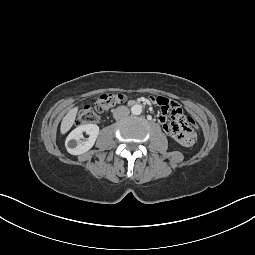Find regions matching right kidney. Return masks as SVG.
I'll return each mask as SVG.
<instances>
[{"label":"right kidney","mask_w":255,"mask_h":255,"mask_svg":"<svg viewBox=\"0 0 255 255\" xmlns=\"http://www.w3.org/2000/svg\"><path fill=\"white\" fill-rule=\"evenodd\" d=\"M83 132L89 134L86 141H82ZM99 134V127L95 124L80 125L75 128L66 138L65 147L67 151L72 155H80L89 151Z\"/></svg>","instance_id":"right-kidney-1"}]
</instances>
